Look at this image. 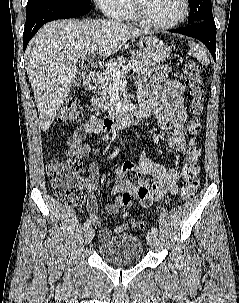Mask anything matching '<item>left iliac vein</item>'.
I'll return each instance as SVG.
<instances>
[{"instance_id":"left-iliac-vein-1","label":"left iliac vein","mask_w":239,"mask_h":303,"mask_svg":"<svg viewBox=\"0 0 239 303\" xmlns=\"http://www.w3.org/2000/svg\"><path fill=\"white\" fill-rule=\"evenodd\" d=\"M147 242L148 244L153 247V248H156L158 246V238H157V235L150 232L148 233L147 235Z\"/></svg>"}]
</instances>
